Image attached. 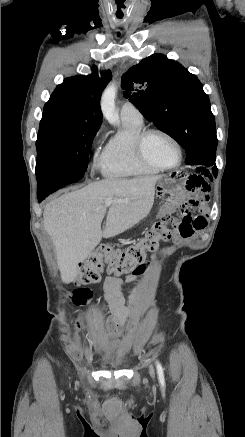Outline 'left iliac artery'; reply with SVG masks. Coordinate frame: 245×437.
<instances>
[{"label":"left iliac artery","mask_w":245,"mask_h":437,"mask_svg":"<svg viewBox=\"0 0 245 437\" xmlns=\"http://www.w3.org/2000/svg\"><path fill=\"white\" fill-rule=\"evenodd\" d=\"M156 367H157V373H158V379L161 387H165V379H164V372L161 364L159 361L156 360Z\"/></svg>","instance_id":"44dca946"}]
</instances>
